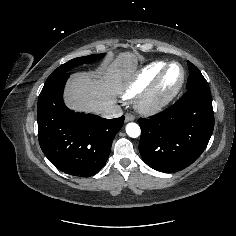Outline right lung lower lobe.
Listing matches in <instances>:
<instances>
[{"mask_svg": "<svg viewBox=\"0 0 236 236\" xmlns=\"http://www.w3.org/2000/svg\"><path fill=\"white\" fill-rule=\"evenodd\" d=\"M68 74L46 81L38 98L37 122L40 147L59 170L89 177L106 163L112 141L124 123V116L105 119L75 113L63 102Z\"/></svg>", "mask_w": 236, "mask_h": 236, "instance_id": "right-lung-lower-lobe-1", "label": "right lung lower lobe"}]
</instances>
